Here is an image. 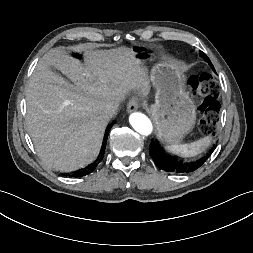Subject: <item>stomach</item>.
I'll return each instance as SVG.
<instances>
[{
	"label": "stomach",
	"instance_id": "stomach-1",
	"mask_svg": "<svg viewBox=\"0 0 253 253\" xmlns=\"http://www.w3.org/2000/svg\"><path fill=\"white\" fill-rule=\"evenodd\" d=\"M134 52L138 59L146 56L139 50ZM151 81L157 90L150 112L158 137L177 144L193 129L196 119L195 106L185 92L186 78L176 64L163 62L152 69Z\"/></svg>",
	"mask_w": 253,
	"mask_h": 253
}]
</instances>
